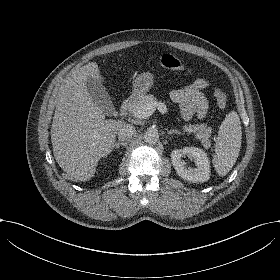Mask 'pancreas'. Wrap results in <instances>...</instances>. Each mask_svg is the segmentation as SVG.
<instances>
[{
    "label": "pancreas",
    "instance_id": "pancreas-1",
    "mask_svg": "<svg viewBox=\"0 0 280 280\" xmlns=\"http://www.w3.org/2000/svg\"><path fill=\"white\" fill-rule=\"evenodd\" d=\"M156 97L154 95H141L139 96L135 101L131 102L129 104V111L132 115H135L136 118H138L139 111L144 108V106L152 101H155ZM141 119L143 117H140ZM185 132L192 133L195 132L197 135V138H199L202 141V144L205 146V148H208L211 146V133L212 129L207 128L205 124L202 125H195L193 127H184Z\"/></svg>",
    "mask_w": 280,
    "mask_h": 280
}]
</instances>
